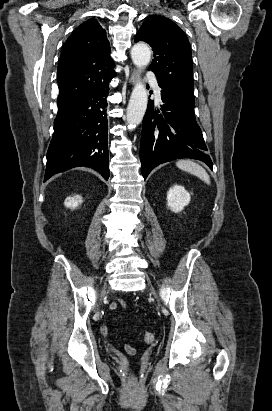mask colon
Listing matches in <instances>:
<instances>
[{
  "label": "colon",
  "instance_id": "obj_1",
  "mask_svg": "<svg viewBox=\"0 0 272 411\" xmlns=\"http://www.w3.org/2000/svg\"><path fill=\"white\" fill-rule=\"evenodd\" d=\"M143 340L145 343H152L155 340V334L153 332H145Z\"/></svg>",
  "mask_w": 272,
  "mask_h": 411
}]
</instances>
